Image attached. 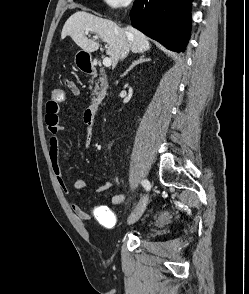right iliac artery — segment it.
Listing matches in <instances>:
<instances>
[{
  "instance_id": "obj_1",
  "label": "right iliac artery",
  "mask_w": 249,
  "mask_h": 294,
  "mask_svg": "<svg viewBox=\"0 0 249 294\" xmlns=\"http://www.w3.org/2000/svg\"><path fill=\"white\" fill-rule=\"evenodd\" d=\"M142 186L148 191L151 188L150 182L148 180H142Z\"/></svg>"
}]
</instances>
